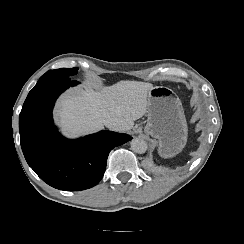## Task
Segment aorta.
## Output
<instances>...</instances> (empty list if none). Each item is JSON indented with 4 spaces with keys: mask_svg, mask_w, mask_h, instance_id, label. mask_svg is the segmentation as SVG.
<instances>
[{
    "mask_svg": "<svg viewBox=\"0 0 244 244\" xmlns=\"http://www.w3.org/2000/svg\"><path fill=\"white\" fill-rule=\"evenodd\" d=\"M131 149L133 152L138 154H143L147 151L148 145L147 142L139 137L134 138L131 143Z\"/></svg>",
    "mask_w": 244,
    "mask_h": 244,
    "instance_id": "762f6f07",
    "label": "aorta"
}]
</instances>
